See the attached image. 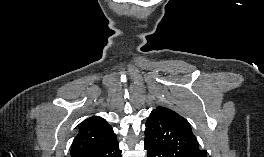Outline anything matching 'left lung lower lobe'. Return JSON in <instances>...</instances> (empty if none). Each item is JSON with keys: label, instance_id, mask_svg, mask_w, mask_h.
Returning a JSON list of instances; mask_svg holds the SVG:
<instances>
[{"label": "left lung lower lobe", "instance_id": "0a47b994", "mask_svg": "<svg viewBox=\"0 0 264 157\" xmlns=\"http://www.w3.org/2000/svg\"><path fill=\"white\" fill-rule=\"evenodd\" d=\"M145 150H147V157H162V152L153 145L145 143Z\"/></svg>", "mask_w": 264, "mask_h": 157}]
</instances>
